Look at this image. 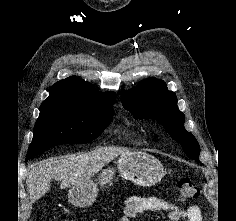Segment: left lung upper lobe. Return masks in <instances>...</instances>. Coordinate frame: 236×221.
<instances>
[{
	"instance_id": "obj_1",
	"label": "left lung upper lobe",
	"mask_w": 236,
	"mask_h": 221,
	"mask_svg": "<svg viewBox=\"0 0 236 221\" xmlns=\"http://www.w3.org/2000/svg\"><path fill=\"white\" fill-rule=\"evenodd\" d=\"M121 101L136 118L157 120L175 141L182 144L190 158L198 160L199 144L184 128L185 116L177 107V97L163 80L145 79L136 88L128 90Z\"/></svg>"
}]
</instances>
